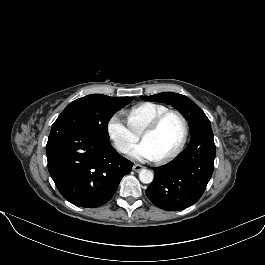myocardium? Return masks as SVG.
<instances>
[{"mask_svg":"<svg viewBox=\"0 0 265 265\" xmlns=\"http://www.w3.org/2000/svg\"><path fill=\"white\" fill-rule=\"evenodd\" d=\"M170 115H177L181 119L183 124V136L180 143L172 151L162 156L156 157L154 159L156 162H164L166 160L175 157L183 150V148L185 147L188 141L189 132H190L189 122L186 116L178 110H167L164 113L160 114L158 117H156L154 120H152L149 124H147L143 128V130L140 132V138L142 139L144 135L156 131L158 127L161 125V123Z\"/></svg>","mask_w":265,"mask_h":265,"instance_id":"f54148a6","label":"myocardium"}]
</instances>
